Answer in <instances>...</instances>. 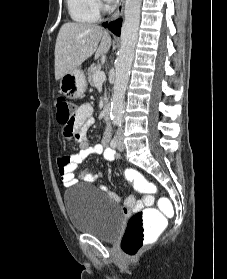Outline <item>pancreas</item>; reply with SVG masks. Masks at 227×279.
Returning <instances> with one entry per match:
<instances>
[{"label": "pancreas", "mask_w": 227, "mask_h": 279, "mask_svg": "<svg viewBox=\"0 0 227 279\" xmlns=\"http://www.w3.org/2000/svg\"><path fill=\"white\" fill-rule=\"evenodd\" d=\"M97 71H100V67L98 65H95V64H92L88 69V81L92 86L95 85L94 74Z\"/></svg>", "instance_id": "pancreas-1"}]
</instances>
